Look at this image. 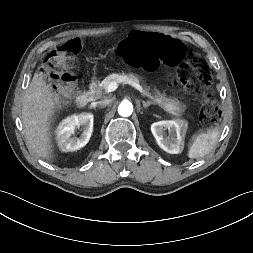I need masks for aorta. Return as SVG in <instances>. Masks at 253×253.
Instances as JSON below:
<instances>
[{
    "mask_svg": "<svg viewBox=\"0 0 253 253\" xmlns=\"http://www.w3.org/2000/svg\"><path fill=\"white\" fill-rule=\"evenodd\" d=\"M133 112V105L129 101H122L118 106V113L123 117H128Z\"/></svg>",
    "mask_w": 253,
    "mask_h": 253,
    "instance_id": "aorta-1",
    "label": "aorta"
}]
</instances>
